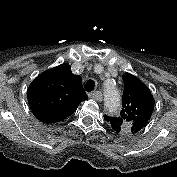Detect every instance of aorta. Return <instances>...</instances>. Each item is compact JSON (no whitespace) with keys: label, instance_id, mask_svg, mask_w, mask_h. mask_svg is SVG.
<instances>
[{"label":"aorta","instance_id":"aorta-1","mask_svg":"<svg viewBox=\"0 0 177 177\" xmlns=\"http://www.w3.org/2000/svg\"><path fill=\"white\" fill-rule=\"evenodd\" d=\"M105 108L110 113H116L120 108V94L113 83L104 88Z\"/></svg>","mask_w":177,"mask_h":177}]
</instances>
